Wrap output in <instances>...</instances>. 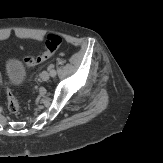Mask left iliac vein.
Returning <instances> with one entry per match:
<instances>
[{
  "mask_svg": "<svg viewBox=\"0 0 163 163\" xmlns=\"http://www.w3.org/2000/svg\"><path fill=\"white\" fill-rule=\"evenodd\" d=\"M40 78L43 80V81H48L49 78H50V74L48 71H43L41 74H40Z\"/></svg>",
  "mask_w": 163,
  "mask_h": 163,
  "instance_id": "1",
  "label": "left iliac vein"
}]
</instances>
